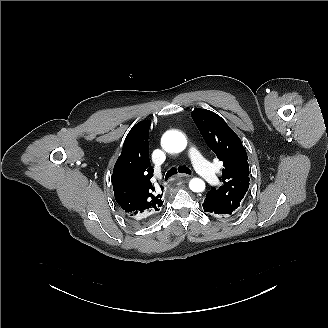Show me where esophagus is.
Masks as SVG:
<instances>
[{
  "mask_svg": "<svg viewBox=\"0 0 328 328\" xmlns=\"http://www.w3.org/2000/svg\"><path fill=\"white\" fill-rule=\"evenodd\" d=\"M176 177L181 178V177H190L188 174H178Z\"/></svg>",
  "mask_w": 328,
  "mask_h": 328,
  "instance_id": "34e87169",
  "label": "esophagus"
}]
</instances>
